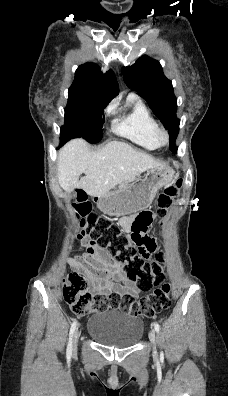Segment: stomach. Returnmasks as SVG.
I'll return each instance as SVG.
<instances>
[{
  "label": "stomach",
  "instance_id": "obj_1",
  "mask_svg": "<svg viewBox=\"0 0 228 396\" xmlns=\"http://www.w3.org/2000/svg\"><path fill=\"white\" fill-rule=\"evenodd\" d=\"M175 172L168 166L152 168L129 186L95 196L98 208L110 216H122L148 208L160 188L173 181Z\"/></svg>",
  "mask_w": 228,
  "mask_h": 396
}]
</instances>
